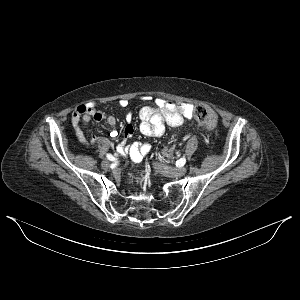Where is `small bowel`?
Instances as JSON below:
<instances>
[{"label":"small bowel","mask_w":300,"mask_h":300,"mask_svg":"<svg viewBox=\"0 0 300 300\" xmlns=\"http://www.w3.org/2000/svg\"><path fill=\"white\" fill-rule=\"evenodd\" d=\"M122 109L128 107V101L122 99L119 101ZM193 105L190 103H174L165 99H156L155 106H145L139 112V131L142 135L148 137H158L165 132L166 125L180 126L185 119H190L193 115ZM132 112H126L127 125L123 130L124 139L119 143L117 150L120 154H128L135 162H140L149 152L150 145L148 143L133 142L127 144L126 139L133 135L134 128L132 122ZM91 120L105 121L109 126L116 125V118L98 110L93 103L82 104L78 106L72 113L71 122L77 139L84 145L95 144L102 141L97 136H85L81 129V122L88 124ZM112 138H117L118 132H111Z\"/></svg>","instance_id":"1"}]
</instances>
